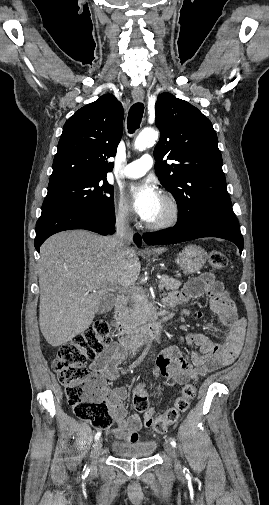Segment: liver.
I'll return each mask as SVG.
<instances>
[{"mask_svg":"<svg viewBox=\"0 0 269 505\" xmlns=\"http://www.w3.org/2000/svg\"><path fill=\"white\" fill-rule=\"evenodd\" d=\"M140 270L136 250L121 246L117 237L72 230L48 238L38 264L39 325L46 341L57 347L85 331L101 300L134 284Z\"/></svg>","mask_w":269,"mask_h":505,"instance_id":"liver-1","label":"liver"}]
</instances>
